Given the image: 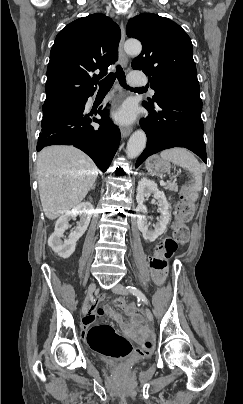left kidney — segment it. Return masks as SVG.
<instances>
[{
    "mask_svg": "<svg viewBox=\"0 0 243 404\" xmlns=\"http://www.w3.org/2000/svg\"><path fill=\"white\" fill-rule=\"evenodd\" d=\"M150 194H153L155 200L158 202V212H160V218L154 228V230H148V222L145 216L147 212L146 206L143 202L145 198H148ZM136 202L138 204L136 208L137 212V228L142 232L144 240L147 242H155L158 236L164 234L167 224H169L170 214H169V204L166 200L164 192L158 190L157 184L152 182V180H147V178H142L138 182Z\"/></svg>",
    "mask_w": 243,
    "mask_h": 404,
    "instance_id": "1",
    "label": "left kidney"
}]
</instances>
